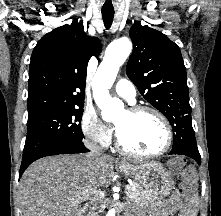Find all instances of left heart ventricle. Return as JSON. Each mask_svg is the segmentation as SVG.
Returning <instances> with one entry per match:
<instances>
[{
	"label": "left heart ventricle",
	"instance_id": "left-heart-ventricle-1",
	"mask_svg": "<svg viewBox=\"0 0 221 216\" xmlns=\"http://www.w3.org/2000/svg\"><path fill=\"white\" fill-rule=\"evenodd\" d=\"M115 127L122 143L135 151L155 152L165 144L164 126L152 114L133 115L124 111L117 117Z\"/></svg>",
	"mask_w": 221,
	"mask_h": 216
}]
</instances>
